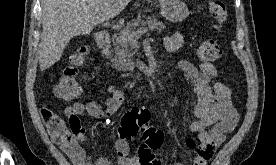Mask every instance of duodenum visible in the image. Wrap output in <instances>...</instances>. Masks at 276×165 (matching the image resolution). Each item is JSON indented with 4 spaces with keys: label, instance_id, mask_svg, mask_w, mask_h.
<instances>
[{
    "label": "duodenum",
    "instance_id": "410a0bca",
    "mask_svg": "<svg viewBox=\"0 0 276 165\" xmlns=\"http://www.w3.org/2000/svg\"><path fill=\"white\" fill-rule=\"evenodd\" d=\"M97 44L99 48L106 50L110 45V37L107 33L100 32L96 36Z\"/></svg>",
    "mask_w": 276,
    "mask_h": 165
}]
</instances>
